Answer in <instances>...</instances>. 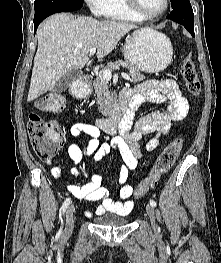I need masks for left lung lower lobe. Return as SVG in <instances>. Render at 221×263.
Returning <instances> with one entry per match:
<instances>
[{
	"label": "left lung lower lobe",
	"mask_w": 221,
	"mask_h": 263,
	"mask_svg": "<svg viewBox=\"0 0 221 263\" xmlns=\"http://www.w3.org/2000/svg\"><path fill=\"white\" fill-rule=\"evenodd\" d=\"M173 9L174 10L167 15V19H171L183 25L187 29V31L194 37V14L191 4Z\"/></svg>",
	"instance_id": "obj_1"
}]
</instances>
